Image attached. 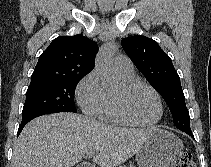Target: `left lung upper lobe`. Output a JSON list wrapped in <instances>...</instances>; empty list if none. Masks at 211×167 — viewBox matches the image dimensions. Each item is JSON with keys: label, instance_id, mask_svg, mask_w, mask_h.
Listing matches in <instances>:
<instances>
[{"label": "left lung upper lobe", "instance_id": "obj_1", "mask_svg": "<svg viewBox=\"0 0 211 167\" xmlns=\"http://www.w3.org/2000/svg\"><path fill=\"white\" fill-rule=\"evenodd\" d=\"M126 54L169 106L174 125L191 130L185 96L170 57L153 39L135 35L121 41Z\"/></svg>", "mask_w": 211, "mask_h": 167}]
</instances>
